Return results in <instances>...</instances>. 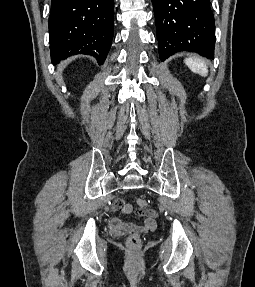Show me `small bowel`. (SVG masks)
Masks as SVG:
<instances>
[{
	"label": "small bowel",
	"instance_id": "c3829d8e",
	"mask_svg": "<svg viewBox=\"0 0 255 287\" xmlns=\"http://www.w3.org/2000/svg\"><path fill=\"white\" fill-rule=\"evenodd\" d=\"M112 210L119 215L130 214L133 210L131 203L125 199H116L112 204ZM140 216L144 217L143 225H137L132 222H125L119 216L111 220L110 229L115 234L151 232L157 225V213L153 209H141L138 211Z\"/></svg>",
	"mask_w": 255,
	"mask_h": 287
}]
</instances>
